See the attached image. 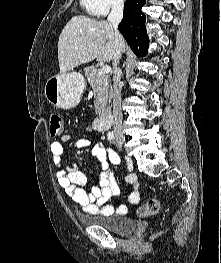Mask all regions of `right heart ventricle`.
<instances>
[{"label":"right heart ventricle","instance_id":"obj_1","mask_svg":"<svg viewBox=\"0 0 221 263\" xmlns=\"http://www.w3.org/2000/svg\"><path fill=\"white\" fill-rule=\"evenodd\" d=\"M81 5L83 6V8L89 12L90 14H93V8H92V0H80Z\"/></svg>","mask_w":221,"mask_h":263}]
</instances>
